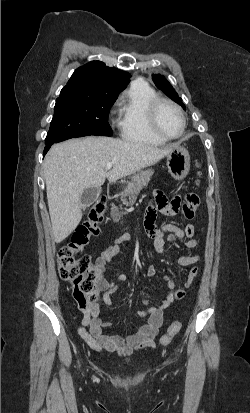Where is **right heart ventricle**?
Returning <instances> with one entry per match:
<instances>
[{
    "mask_svg": "<svg viewBox=\"0 0 250 413\" xmlns=\"http://www.w3.org/2000/svg\"><path fill=\"white\" fill-rule=\"evenodd\" d=\"M157 97V92L142 80L130 85L122 96L119 108V129L123 139L156 146L165 143L151 132L148 125V108Z\"/></svg>",
    "mask_w": 250,
    "mask_h": 413,
    "instance_id": "obj_1",
    "label": "right heart ventricle"
}]
</instances>
